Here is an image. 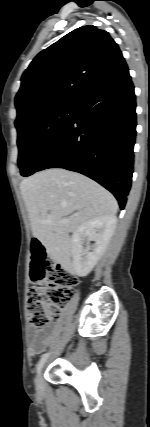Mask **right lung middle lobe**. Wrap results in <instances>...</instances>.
Instances as JSON below:
<instances>
[{
	"mask_svg": "<svg viewBox=\"0 0 150 427\" xmlns=\"http://www.w3.org/2000/svg\"><path fill=\"white\" fill-rule=\"evenodd\" d=\"M77 106L53 105L35 109L15 121L18 131V165L29 176L71 124Z\"/></svg>",
	"mask_w": 150,
	"mask_h": 427,
	"instance_id": "obj_1",
	"label": "right lung middle lobe"
}]
</instances>
